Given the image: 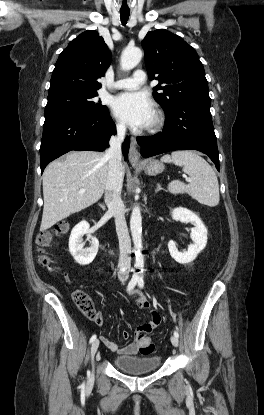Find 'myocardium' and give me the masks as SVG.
I'll return each mask as SVG.
<instances>
[{"mask_svg":"<svg viewBox=\"0 0 264 415\" xmlns=\"http://www.w3.org/2000/svg\"><path fill=\"white\" fill-rule=\"evenodd\" d=\"M163 124H164L163 112L160 109H156L154 111L153 120L146 127V130L149 133L157 132L158 130L162 128Z\"/></svg>","mask_w":264,"mask_h":415,"instance_id":"f54148a6","label":"myocardium"}]
</instances>
